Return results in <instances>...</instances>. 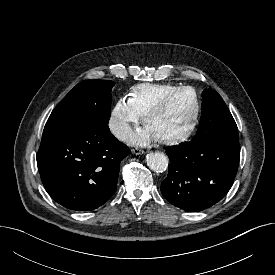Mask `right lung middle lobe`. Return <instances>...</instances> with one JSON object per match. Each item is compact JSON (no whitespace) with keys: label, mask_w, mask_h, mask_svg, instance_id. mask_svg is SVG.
I'll return each mask as SVG.
<instances>
[{"label":"right lung middle lobe","mask_w":275,"mask_h":275,"mask_svg":"<svg viewBox=\"0 0 275 275\" xmlns=\"http://www.w3.org/2000/svg\"><path fill=\"white\" fill-rule=\"evenodd\" d=\"M113 86L111 80H86L76 85L51 113L43 135L80 132L108 124Z\"/></svg>","instance_id":"obj_1"}]
</instances>
